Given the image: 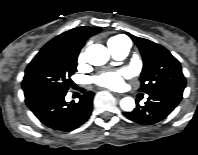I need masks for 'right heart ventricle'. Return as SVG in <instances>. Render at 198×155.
<instances>
[{
	"label": "right heart ventricle",
	"instance_id": "1",
	"mask_svg": "<svg viewBox=\"0 0 198 155\" xmlns=\"http://www.w3.org/2000/svg\"><path fill=\"white\" fill-rule=\"evenodd\" d=\"M120 36H116V37H112L109 41L113 40V39H116V38H119ZM108 41V42H109Z\"/></svg>",
	"mask_w": 198,
	"mask_h": 155
}]
</instances>
